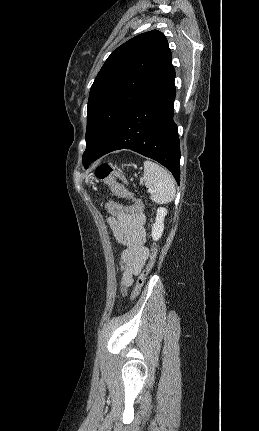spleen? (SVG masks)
I'll list each match as a JSON object with an SVG mask.
<instances>
[{
  "label": "spleen",
  "mask_w": 259,
  "mask_h": 431,
  "mask_svg": "<svg viewBox=\"0 0 259 431\" xmlns=\"http://www.w3.org/2000/svg\"><path fill=\"white\" fill-rule=\"evenodd\" d=\"M144 181L150 192V198L157 204L171 202L175 196V184L172 176L159 164L144 161Z\"/></svg>",
  "instance_id": "spleen-1"
}]
</instances>
